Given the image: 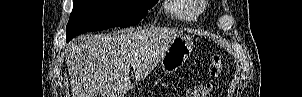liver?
<instances>
[{
	"label": "liver",
	"mask_w": 302,
	"mask_h": 97,
	"mask_svg": "<svg viewBox=\"0 0 302 97\" xmlns=\"http://www.w3.org/2000/svg\"><path fill=\"white\" fill-rule=\"evenodd\" d=\"M181 31L126 29L80 36L67 46L72 97H123L132 87L129 69L145 77Z\"/></svg>",
	"instance_id": "obj_1"
}]
</instances>
